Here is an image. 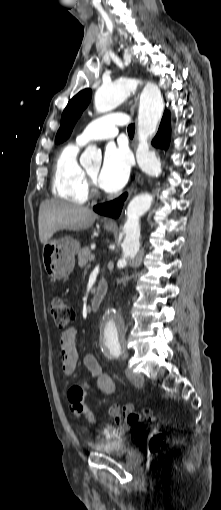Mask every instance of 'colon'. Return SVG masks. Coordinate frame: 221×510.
<instances>
[{
	"label": "colon",
	"mask_w": 221,
	"mask_h": 510,
	"mask_svg": "<svg viewBox=\"0 0 221 510\" xmlns=\"http://www.w3.org/2000/svg\"><path fill=\"white\" fill-rule=\"evenodd\" d=\"M50 312H51L52 318L54 320V323L59 330H66L75 318V312H74L73 308L70 305H68L67 303H65L60 298H54L51 301ZM77 387L78 386H74L75 389ZM112 413H117V412L114 409H110L109 414H112ZM86 416L90 422H92V423L96 422L95 417L90 412H87ZM152 421H154V416L150 412H147V411H145V412L132 411V412L127 413V415H126V422L131 427H138L145 422H152ZM103 432L105 434L110 433V428L105 427L103 429ZM166 442H167V438H166L165 434H163V433L155 434L154 436L151 437V439L149 441L150 452H152V453L157 452L159 449H161L166 444Z\"/></svg>",
	"instance_id": "1"
}]
</instances>
